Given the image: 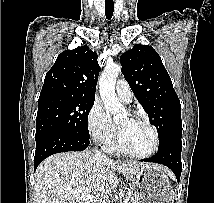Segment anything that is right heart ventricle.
<instances>
[{
  "label": "right heart ventricle",
  "mask_w": 214,
  "mask_h": 203,
  "mask_svg": "<svg viewBox=\"0 0 214 203\" xmlns=\"http://www.w3.org/2000/svg\"><path fill=\"white\" fill-rule=\"evenodd\" d=\"M108 150L112 151L115 149V145L113 143H110L107 147Z\"/></svg>",
  "instance_id": "1"
}]
</instances>
